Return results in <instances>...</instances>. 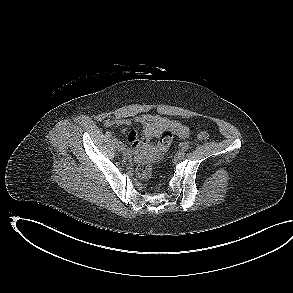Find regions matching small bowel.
<instances>
[{
  "label": "small bowel",
  "instance_id": "c3829d8e",
  "mask_svg": "<svg viewBox=\"0 0 293 293\" xmlns=\"http://www.w3.org/2000/svg\"><path fill=\"white\" fill-rule=\"evenodd\" d=\"M135 120L143 127L144 138L139 139L135 131H130L127 134V138L134 148L145 146L149 140L159 137L164 131H170L180 138H187L190 135L188 126L179 121L171 120L160 115L143 114L138 116ZM130 124L131 120L128 118L108 119L104 122L106 127H113L116 125L127 127Z\"/></svg>",
  "mask_w": 293,
  "mask_h": 293
}]
</instances>
